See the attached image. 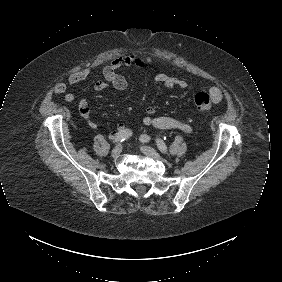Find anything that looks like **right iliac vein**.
Returning a JSON list of instances; mask_svg holds the SVG:
<instances>
[{
    "mask_svg": "<svg viewBox=\"0 0 282 282\" xmlns=\"http://www.w3.org/2000/svg\"><path fill=\"white\" fill-rule=\"evenodd\" d=\"M122 152V146L121 145H117L111 153V156L113 158H118L120 156V153Z\"/></svg>",
    "mask_w": 282,
    "mask_h": 282,
    "instance_id": "1",
    "label": "right iliac vein"
}]
</instances>
